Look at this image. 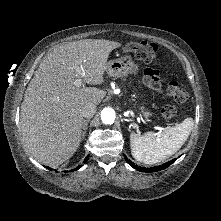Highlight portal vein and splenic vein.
I'll return each instance as SVG.
<instances>
[{
    "label": "portal vein and splenic vein",
    "instance_id": "1",
    "mask_svg": "<svg viewBox=\"0 0 221 221\" xmlns=\"http://www.w3.org/2000/svg\"><path fill=\"white\" fill-rule=\"evenodd\" d=\"M74 69L78 75V78L74 81V85L80 87L82 85L83 72L79 66H74ZM131 115L133 116V112H131Z\"/></svg>",
    "mask_w": 221,
    "mask_h": 221
}]
</instances>
